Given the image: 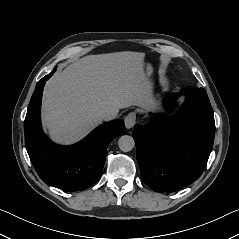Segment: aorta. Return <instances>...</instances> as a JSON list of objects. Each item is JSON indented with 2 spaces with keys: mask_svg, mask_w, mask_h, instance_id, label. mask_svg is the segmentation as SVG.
<instances>
[{
  "mask_svg": "<svg viewBox=\"0 0 239 239\" xmlns=\"http://www.w3.org/2000/svg\"><path fill=\"white\" fill-rule=\"evenodd\" d=\"M135 146L133 137L129 135H123L118 140V147L123 152L131 151Z\"/></svg>",
  "mask_w": 239,
  "mask_h": 239,
  "instance_id": "762f6f07",
  "label": "aorta"
}]
</instances>
